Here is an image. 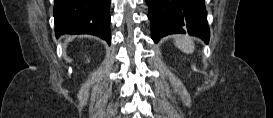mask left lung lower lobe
I'll list each match as a JSON object with an SVG mask.
<instances>
[{"label": "left lung lower lobe", "instance_id": "left-lung-lower-lobe-1", "mask_svg": "<svg viewBox=\"0 0 273 118\" xmlns=\"http://www.w3.org/2000/svg\"><path fill=\"white\" fill-rule=\"evenodd\" d=\"M154 42L169 34L197 36L209 41L204 0H146Z\"/></svg>", "mask_w": 273, "mask_h": 118}]
</instances>
